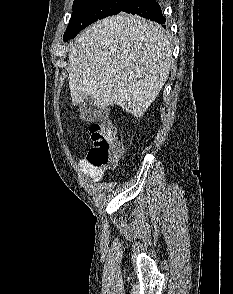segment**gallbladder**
Wrapping results in <instances>:
<instances>
[{
	"label": "gallbladder",
	"instance_id": "obj_1",
	"mask_svg": "<svg viewBox=\"0 0 233 294\" xmlns=\"http://www.w3.org/2000/svg\"><path fill=\"white\" fill-rule=\"evenodd\" d=\"M79 112L83 119L94 122L99 119L97 106L91 97H87L79 106Z\"/></svg>",
	"mask_w": 233,
	"mask_h": 294
}]
</instances>
